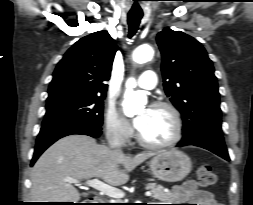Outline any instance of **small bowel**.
<instances>
[{
    "mask_svg": "<svg viewBox=\"0 0 253 205\" xmlns=\"http://www.w3.org/2000/svg\"><path fill=\"white\" fill-rule=\"evenodd\" d=\"M175 199L181 202L195 203L188 205H223L216 202L210 192L199 189L194 181H188L176 190Z\"/></svg>",
    "mask_w": 253,
    "mask_h": 205,
    "instance_id": "1",
    "label": "small bowel"
}]
</instances>
